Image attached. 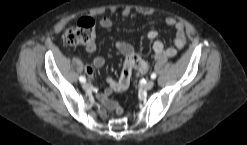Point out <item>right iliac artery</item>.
<instances>
[{
	"label": "right iliac artery",
	"mask_w": 247,
	"mask_h": 145,
	"mask_svg": "<svg viewBox=\"0 0 247 145\" xmlns=\"http://www.w3.org/2000/svg\"><path fill=\"white\" fill-rule=\"evenodd\" d=\"M79 81L84 83V82H86V78L84 76H80L79 77Z\"/></svg>",
	"instance_id": "obj_1"
}]
</instances>
